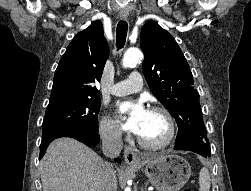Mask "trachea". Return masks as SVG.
<instances>
[{
	"instance_id": "3493384b",
	"label": "trachea",
	"mask_w": 251,
	"mask_h": 191,
	"mask_svg": "<svg viewBox=\"0 0 251 191\" xmlns=\"http://www.w3.org/2000/svg\"><path fill=\"white\" fill-rule=\"evenodd\" d=\"M127 37V22L121 20L116 28V46L123 48Z\"/></svg>"
}]
</instances>
